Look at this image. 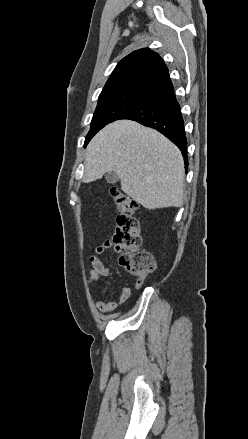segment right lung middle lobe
Returning a JSON list of instances; mask_svg holds the SVG:
<instances>
[{
	"label": "right lung middle lobe",
	"mask_w": 248,
	"mask_h": 439,
	"mask_svg": "<svg viewBox=\"0 0 248 439\" xmlns=\"http://www.w3.org/2000/svg\"><path fill=\"white\" fill-rule=\"evenodd\" d=\"M149 98L147 95L132 92H121L99 97L84 146L105 125L120 119Z\"/></svg>",
	"instance_id": "1"
}]
</instances>
